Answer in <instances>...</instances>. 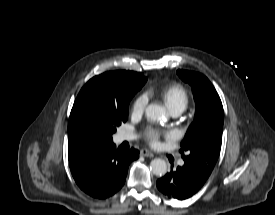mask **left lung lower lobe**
<instances>
[{
  "label": "left lung lower lobe",
  "instance_id": "obj_1",
  "mask_svg": "<svg viewBox=\"0 0 275 215\" xmlns=\"http://www.w3.org/2000/svg\"><path fill=\"white\" fill-rule=\"evenodd\" d=\"M211 173L184 163L157 180V188L169 198L184 200L197 193Z\"/></svg>",
  "mask_w": 275,
  "mask_h": 215
}]
</instances>
